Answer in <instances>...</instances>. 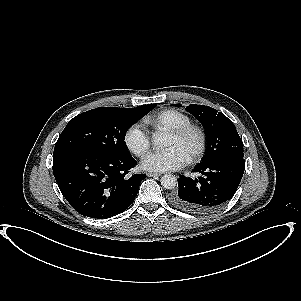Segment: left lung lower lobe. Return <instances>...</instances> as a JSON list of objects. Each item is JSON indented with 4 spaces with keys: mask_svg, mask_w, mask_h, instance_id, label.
I'll return each instance as SVG.
<instances>
[{
    "mask_svg": "<svg viewBox=\"0 0 301 301\" xmlns=\"http://www.w3.org/2000/svg\"><path fill=\"white\" fill-rule=\"evenodd\" d=\"M245 161L239 155H226L207 165H197L192 172L196 179L181 176L170 203L184 211L209 213L220 209L235 194L242 179Z\"/></svg>",
    "mask_w": 301,
    "mask_h": 301,
    "instance_id": "left-lung-lower-lobe-1",
    "label": "left lung lower lobe"
}]
</instances>
